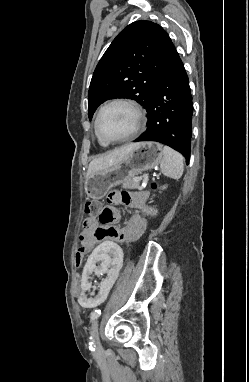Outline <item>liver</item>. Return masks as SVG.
<instances>
[{"mask_svg":"<svg viewBox=\"0 0 249 382\" xmlns=\"http://www.w3.org/2000/svg\"><path fill=\"white\" fill-rule=\"evenodd\" d=\"M136 144H128L119 147L101 157H98L90 162L86 178L90 177L93 173L112 167L121 161Z\"/></svg>","mask_w":249,"mask_h":382,"instance_id":"obj_1","label":"liver"}]
</instances>
